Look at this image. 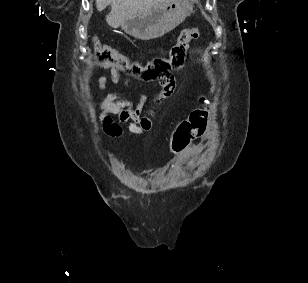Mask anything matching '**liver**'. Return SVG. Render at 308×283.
Instances as JSON below:
<instances>
[{
	"label": "liver",
	"mask_w": 308,
	"mask_h": 283,
	"mask_svg": "<svg viewBox=\"0 0 308 283\" xmlns=\"http://www.w3.org/2000/svg\"><path fill=\"white\" fill-rule=\"evenodd\" d=\"M165 1L166 0H96V7L98 10H101L111 5V12L106 16V22L109 26L116 28L121 26L128 17Z\"/></svg>",
	"instance_id": "obj_1"
}]
</instances>
